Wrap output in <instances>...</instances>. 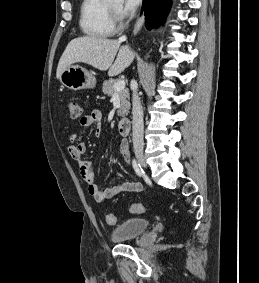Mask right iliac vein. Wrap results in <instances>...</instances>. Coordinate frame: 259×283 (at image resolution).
<instances>
[{"label":"right iliac vein","instance_id":"right-iliac-vein-1","mask_svg":"<svg viewBox=\"0 0 259 283\" xmlns=\"http://www.w3.org/2000/svg\"><path fill=\"white\" fill-rule=\"evenodd\" d=\"M136 158L137 160L140 162V164L146 168V163H145V160H144V156H143V153L142 152H136Z\"/></svg>","mask_w":259,"mask_h":283}]
</instances>
